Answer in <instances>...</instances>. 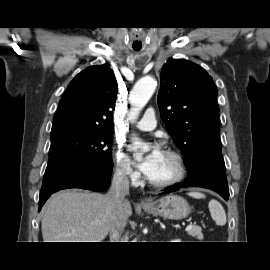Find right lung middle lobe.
<instances>
[{
  "mask_svg": "<svg viewBox=\"0 0 270 270\" xmlns=\"http://www.w3.org/2000/svg\"><path fill=\"white\" fill-rule=\"evenodd\" d=\"M113 129L61 126L51 131V146L46 169L85 158L94 169L111 170Z\"/></svg>",
  "mask_w": 270,
  "mask_h": 270,
  "instance_id": "right-lung-middle-lobe-1",
  "label": "right lung middle lobe"
}]
</instances>
